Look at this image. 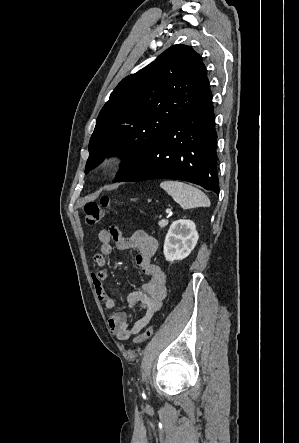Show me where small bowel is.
<instances>
[{
  "label": "small bowel",
  "instance_id": "obj_1",
  "mask_svg": "<svg viewBox=\"0 0 299 443\" xmlns=\"http://www.w3.org/2000/svg\"><path fill=\"white\" fill-rule=\"evenodd\" d=\"M98 238L100 246L94 255V262L99 269L92 274L93 283L98 298L103 302L105 309L110 312L108 325L111 334L118 340L124 341L140 332L149 323L154 314L160 311L166 296V275L157 264L152 262L158 248V241L143 230H135L131 235L125 236L117 225L101 229ZM113 249H136L138 251L136 263L149 278L142 290L131 292L127 297L130 308L141 306L144 309V314L134 322L131 328L129 324L132 314L115 310L116 302L103 286V282L108 278V271L105 268L107 256Z\"/></svg>",
  "mask_w": 299,
  "mask_h": 443
}]
</instances>
